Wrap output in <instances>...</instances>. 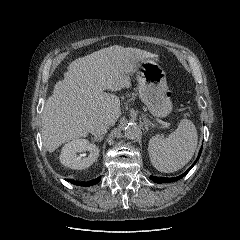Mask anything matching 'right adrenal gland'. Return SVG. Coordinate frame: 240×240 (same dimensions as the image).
Here are the masks:
<instances>
[{"label": "right adrenal gland", "mask_w": 240, "mask_h": 240, "mask_svg": "<svg viewBox=\"0 0 240 240\" xmlns=\"http://www.w3.org/2000/svg\"><path fill=\"white\" fill-rule=\"evenodd\" d=\"M103 138H104V135H102V136H95V137L92 138V141H93V142H94V141H99V142H101Z\"/></svg>", "instance_id": "2a0ac1e0"}]
</instances>
